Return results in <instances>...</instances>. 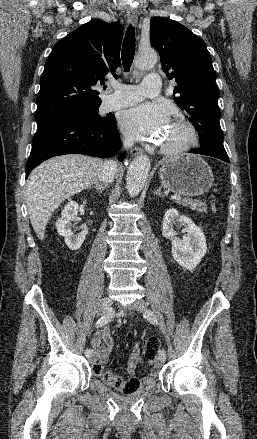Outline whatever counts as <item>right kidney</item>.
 I'll return each mask as SVG.
<instances>
[{
    "label": "right kidney",
    "instance_id": "ca27d5eb",
    "mask_svg": "<svg viewBox=\"0 0 257 439\" xmlns=\"http://www.w3.org/2000/svg\"><path fill=\"white\" fill-rule=\"evenodd\" d=\"M78 213V204L75 201L68 202L61 213V218L56 222L58 234L63 236L65 243L71 250H78L88 234L87 226H82L79 233H73L71 226Z\"/></svg>",
    "mask_w": 257,
    "mask_h": 439
}]
</instances>
